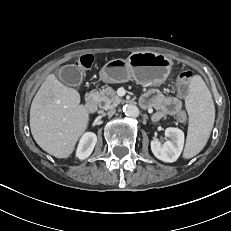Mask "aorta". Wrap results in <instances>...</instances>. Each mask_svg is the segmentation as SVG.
Segmentation results:
<instances>
[{
    "mask_svg": "<svg viewBox=\"0 0 231 231\" xmlns=\"http://www.w3.org/2000/svg\"><path fill=\"white\" fill-rule=\"evenodd\" d=\"M123 112L129 117H137L139 115L138 107L133 104L124 105Z\"/></svg>",
    "mask_w": 231,
    "mask_h": 231,
    "instance_id": "obj_1",
    "label": "aorta"
}]
</instances>
